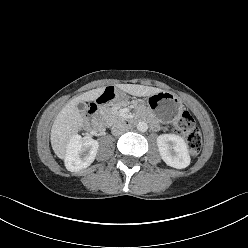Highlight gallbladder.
Here are the masks:
<instances>
[{"instance_id": "1", "label": "gallbladder", "mask_w": 248, "mask_h": 248, "mask_svg": "<svg viewBox=\"0 0 248 248\" xmlns=\"http://www.w3.org/2000/svg\"><path fill=\"white\" fill-rule=\"evenodd\" d=\"M77 106H78L79 110L82 111V112H83V111L85 110V108H86V105H85V103H83V102L79 103Z\"/></svg>"}]
</instances>
